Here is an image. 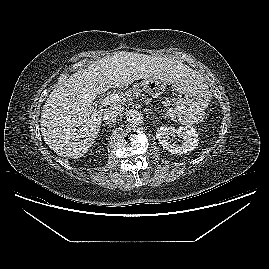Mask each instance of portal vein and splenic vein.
<instances>
[{
    "label": "portal vein and splenic vein",
    "instance_id": "18ae733b",
    "mask_svg": "<svg viewBox=\"0 0 269 269\" xmlns=\"http://www.w3.org/2000/svg\"><path fill=\"white\" fill-rule=\"evenodd\" d=\"M126 101H127V97H125L124 95L113 93L111 95L106 96L104 99H102L101 105L105 106L114 102H126Z\"/></svg>",
    "mask_w": 269,
    "mask_h": 269
}]
</instances>
